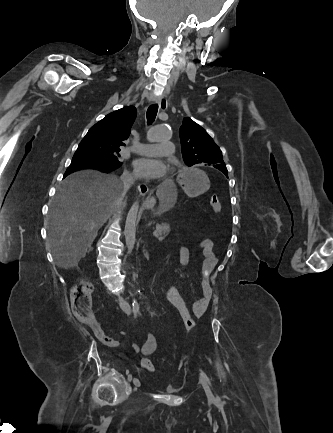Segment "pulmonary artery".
<instances>
[{
	"instance_id": "obj_1",
	"label": "pulmonary artery",
	"mask_w": 333,
	"mask_h": 433,
	"mask_svg": "<svg viewBox=\"0 0 333 433\" xmlns=\"http://www.w3.org/2000/svg\"><path fill=\"white\" fill-rule=\"evenodd\" d=\"M132 151L143 156L171 155L174 152V146L169 141L156 145L142 143L132 147Z\"/></svg>"
}]
</instances>
